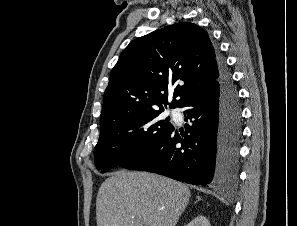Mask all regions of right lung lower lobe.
I'll return each mask as SVG.
<instances>
[{"instance_id": "1", "label": "right lung lower lobe", "mask_w": 297, "mask_h": 226, "mask_svg": "<svg viewBox=\"0 0 297 226\" xmlns=\"http://www.w3.org/2000/svg\"><path fill=\"white\" fill-rule=\"evenodd\" d=\"M180 107L186 134L174 128L149 152L124 168L145 170L193 185H225L238 177L242 132L238 91L223 59L219 78L209 90L188 97Z\"/></svg>"}]
</instances>
